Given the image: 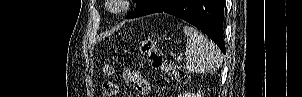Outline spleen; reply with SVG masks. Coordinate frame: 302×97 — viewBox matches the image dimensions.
I'll return each instance as SVG.
<instances>
[{
  "label": "spleen",
  "instance_id": "obj_1",
  "mask_svg": "<svg viewBox=\"0 0 302 97\" xmlns=\"http://www.w3.org/2000/svg\"><path fill=\"white\" fill-rule=\"evenodd\" d=\"M183 32L187 36L186 70L192 73H208L219 69L222 63L219 48L192 26H184Z\"/></svg>",
  "mask_w": 302,
  "mask_h": 97
}]
</instances>
